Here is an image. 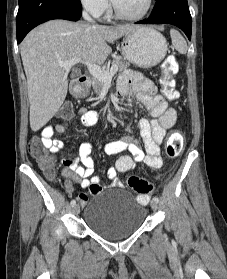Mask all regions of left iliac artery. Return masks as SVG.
Returning <instances> with one entry per match:
<instances>
[{
    "label": "left iliac artery",
    "instance_id": "1",
    "mask_svg": "<svg viewBox=\"0 0 227 279\" xmlns=\"http://www.w3.org/2000/svg\"><path fill=\"white\" fill-rule=\"evenodd\" d=\"M153 200L156 201L157 203L159 202V198H158L157 196H155V197L153 198Z\"/></svg>",
    "mask_w": 227,
    "mask_h": 279
}]
</instances>
